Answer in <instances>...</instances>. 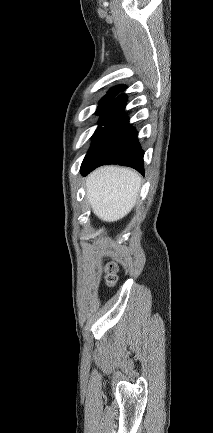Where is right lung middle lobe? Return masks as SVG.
<instances>
[{
	"mask_svg": "<svg viewBox=\"0 0 213 433\" xmlns=\"http://www.w3.org/2000/svg\"><path fill=\"white\" fill-rule=\"evenodd\" d=\"M114 96H104L99 103L97 114H100L114 99Z\"/></svg>",
	"mask_w": 213,
	"mask_h": 433,
	"instance_id": "dd1d6c3e",
	"label": "right lung middle lobe"
}]
</instances>
